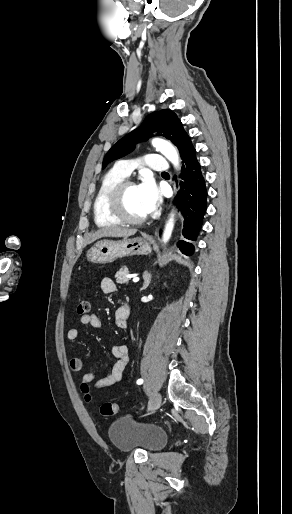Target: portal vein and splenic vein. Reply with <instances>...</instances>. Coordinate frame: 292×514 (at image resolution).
<instances>
[{"mask_svg": "<svg viewBox=\"0 0 292 514\" xmlns=\"http://www.w3.org/2000/svg\"><path fill=\"white\" fill-rule=\"evenodd\" d=\"M133 282H139V278H133Z\"/></svg>", "mask_w": 292, "mask_h": 514, "instance_id": "1", "label": "portal vein and splenic vein"}]
</instances>
